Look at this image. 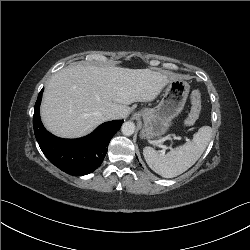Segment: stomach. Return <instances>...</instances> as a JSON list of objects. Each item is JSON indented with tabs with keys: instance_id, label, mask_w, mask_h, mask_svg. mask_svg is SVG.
<instances>
[{
	"instance_id": "0dacf381",
	"label": "stomach",
	"mask_w": 250,
	"mask_h": 250,
	"mask_svg": "<svg viewBox=\"0 0 250 250\" xmlns=\"http://www.w3.org/2000/svg\"><path fill=\"white\" fill-rule=\"evenodd\" d=\"M190 86L182 79L171 80L159 104L154 108H144L141 115L144 126L141 137L148 140L160 139L181 113L189 94Z\"/></svg>"
}]
</instances>
